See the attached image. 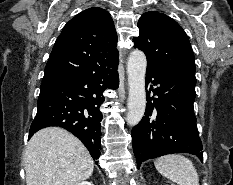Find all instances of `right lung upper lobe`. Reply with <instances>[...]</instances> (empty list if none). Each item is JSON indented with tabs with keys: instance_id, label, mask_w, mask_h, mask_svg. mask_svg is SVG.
I'll list each match as a JSON object with an SVG mask.
<instances>
[{
	"instance_id": "obj_1",
	"label": "right lung upper lobe",
	"mask_w": 233,
	"mask_h": 185,
	"mask_svg": "<svg viewBox=\"0 0 233 185\" xmlns=\"http://www.w3.org/2000/svg\"><path fill=\"white\" fill-rule=\"evenodd\" d=\"M117 33L111 15L89 8L72 18L56 40L42 82L104 71L118 65Z\"/></svg>"
}]
</instances>
